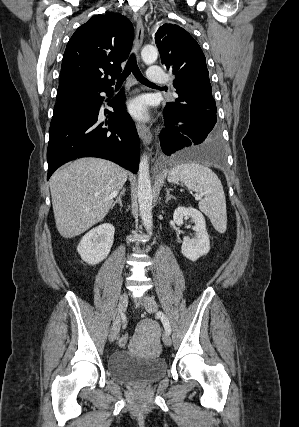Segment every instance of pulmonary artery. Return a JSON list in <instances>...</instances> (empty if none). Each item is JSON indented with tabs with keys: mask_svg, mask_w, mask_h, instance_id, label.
Segmentation results:
<instances>
[{
	"mask_svg": "<svg viewBox=\"0 0 299 427\" xmlns=\"http://www.w3.org/2000/svg\"><path fill=\"white\" fill-rule=\"evenodd\" d=\"M147 78L150 81L159 82V83L166 81L163 69L157 65H153L149 68L147 72Z\"/></svg>",
	"mask_w": 299,
	"mask_h": 427,
	"instance_id": "e3ab8cb5",
	"label": "pulmonary artery"
}]
</instances>
